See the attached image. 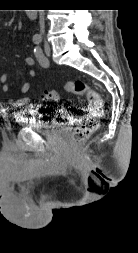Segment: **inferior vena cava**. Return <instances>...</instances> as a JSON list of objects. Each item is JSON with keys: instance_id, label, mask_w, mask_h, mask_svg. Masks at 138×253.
Returning a JSON list of instances; mask_svg holds the SVG:
<instances>
[{"instance_id": "obj_1", "label": "inferior vena cava", "mask_w": 138, "mask_h": 253, "mask_svg": "<svg viewBox=\"0 0 138 253\" xmlns=\"http://www.w3.org/2000/svg\"><path fill=\"white\" fill-rule=\"evenodd\" d=\"M39 23H40L41 33L44 34V32H45L44 10H40Z\"/></svg>"}]
</instances>
